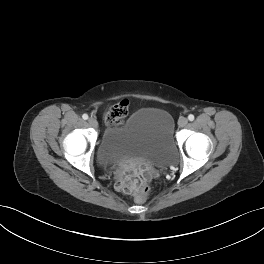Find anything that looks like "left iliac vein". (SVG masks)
<instances>
[{"label":"left iliac vein","mask_w":264,"mask_h":264,"mask_svg":"<svg viewBox=\"0 0 264 264\" xmlns=\"http://www.w3.org/2000/svg\"><path fill=\"white\" fill-rule=\"evenodd\" d=\"M187 123H188V119L185 118V117L180 118L179 121H178V125H179L180 127H184V126H186Z\"/></svg>","instance_id":"obj_1"}]
</instances>
